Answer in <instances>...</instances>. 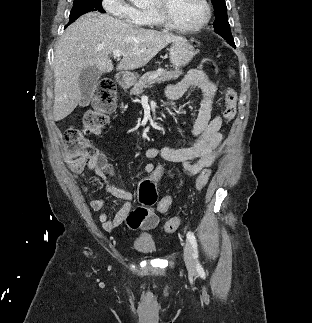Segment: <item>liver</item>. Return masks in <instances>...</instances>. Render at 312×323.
<instances>
[{
  "instance_id": "liver-1",
  "label": "liver",
  "mask_w": 312,
  "mask_h": 323,
  "mask_svg": "<svg viewBox=\"0 0 312 323\" xmlns=\"http://www.w3.org/2000/svg\"><path fill=\"white\" fill-rule=\"evenodd\" d=\"M178 40L181 36L136 28L108 14L89 12L81 16L68 26L55 50V122L67 118L80 104L79 76L84 68L96 66L101 72H112L109 56L113 50H120L124 56L116 70H136Z\"/></svg>"
}]
</instances>
